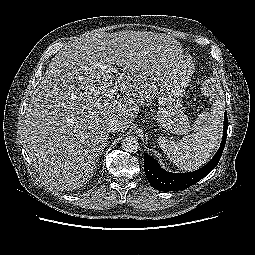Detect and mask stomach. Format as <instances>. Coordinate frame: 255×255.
Wrapping results in <instances>:
<instances>
[{"label":"stomach","mask_w":255,"mask_h":255,"mask_svg":"<svg viewBox=\"0 0 255 255\" xmlns=\"http://www.w3.org/2000/svg\"><path fill=\"white\" fill-rule=\"evenodd\" d=\"M194 69L191 57L183 55L160 83L156 120L170 133L183 135L191 129L181 98Z\"/></svg>","instance_id":"1"}]
</instances>
